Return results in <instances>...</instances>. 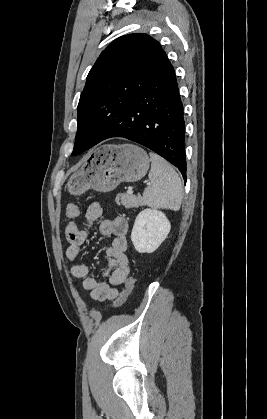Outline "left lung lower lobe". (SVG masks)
I'll use <instances>...</instances> for the list:
<instances>
[{
  "instance_id": "0a47b994",
  "label": "left lung lower lobe",
  "mask_w": 267,
  "mask_h": 419,
  "mask_svg": "<svg viewBox=\"0 0 267 419\" xmlns=\"http://www.w3.org/2000/svg\"><path fill=\"white\" fill-rule=\"evenodd\" d=\"M111 137H123L153 150L176 166L186 181L183 105L168 58L122 115L101 125L91 147Z\"/></svg>"
}]
</instances>
